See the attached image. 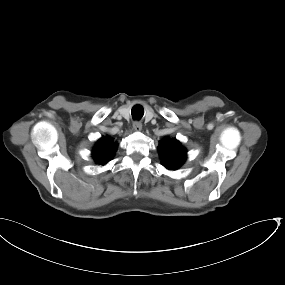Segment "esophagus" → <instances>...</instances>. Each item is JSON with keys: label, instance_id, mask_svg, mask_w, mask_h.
Returning a JSON list of instances; mask_svg holds the SVG:
<instances>
[{"label": "esophagus", "instance_id": "esophagus-1", "mask_svg": "<svg viewBox=\"0 0 285 285\" xmlns=\"http://www.w3.org/2000/svg\"><path fill=\"white\" fill-rule=\"evenodd\" d=\"M133 129L136 132H140L142 130V123L140 121H135L133 123Z\"/></svg>", "mask_w": 285, "mask_h": 285}]
</instances>
